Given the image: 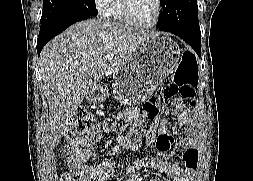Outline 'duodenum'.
Instances as JSON below:
<instances>
[{"mask_svg":"<svg viewBox=\"0 0 253 181\" xmlns=\"http://www.w3.org/2000/svg\"><path fill=\"white\" fill-rule=\"evenodd\" d=\"M106 87L102 84L95 85L92 87L89 92L88 96L89 98L94 102H100L102 101L104 95L106 94Z\"/></svg>","mask_w":253,"mask_h":181,"instance_id":"obj_1","label":"duodenum"}]
</instances>
